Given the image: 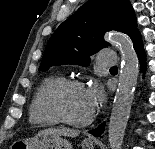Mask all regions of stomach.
<instances>
[{"label": "stomach", "instance_id": "stomach-1", "mask_svg": "<svg viewBox=\"0 0 155 149\" xmlns=\"http://www.w3.org/2000/svg\"><path fill=\"white\" fill-rule=\"evenodd\" d=\"M15 149H72V144L66 138L53 134H37L35 137L26 140L16 141ZM82 149H93V141L84 140Z\"/></svg>", "mask_w": 155, "mask_h": 149}]
</instances>
